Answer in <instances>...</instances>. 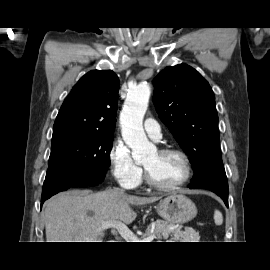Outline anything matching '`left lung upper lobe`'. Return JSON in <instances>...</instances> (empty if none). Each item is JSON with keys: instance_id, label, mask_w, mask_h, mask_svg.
<instances>
[{"instance_id": "5c2ea615", "label": "left lung upper lobe", "mask_w": 270, "mask_h": 270, "mask_svg": "<svg viewBox=\"0 0 270 270\" xmlns=\"http://www.w3.org/2000/svg\"><path fill=\"white\" fill-rule=\"evenodd\" d=\"M153 83L156 111L190 156L193 181L212 169H224L215 96L209 83L186 64L165 68Z\"/></svg>"}]
</instances>
